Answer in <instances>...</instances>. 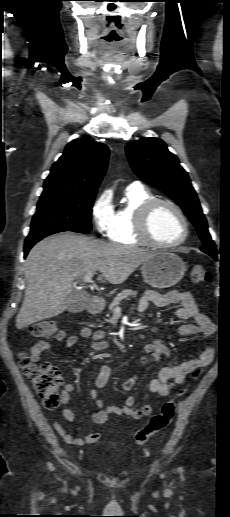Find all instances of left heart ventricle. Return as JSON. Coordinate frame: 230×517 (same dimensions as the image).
<instances>
[{
	"mask_svg": "<svg viewBox=\"0 0 230 517\" xmlns=\"http://www.w3.org/2000/svg\"><path fill=\"white\" fill-rule=\"evenodd\" d=\"M153 237L163 243L179 240L184 233V225L179 216L168 206H158L150 220Z\"/></svg>",
	"mask_w": 230,
	"mask_h": 517,
	"instance_id": "1",
	"label": "left heart ventricle"
}]
</instances>
